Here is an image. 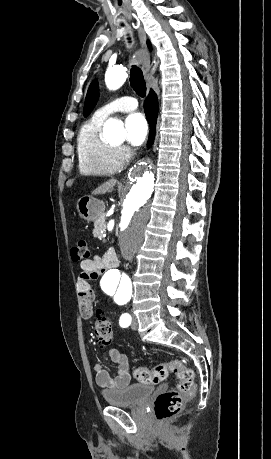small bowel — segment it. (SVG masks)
Masks as SVG:
<instances>
[{
	"label": "small bowel",
	"mask_w": 271,
	"mask_h": 459,
	"mask_svg": "<svg viewBox=\"0 0 271 459\" xmlns=\"http://www.w3.org/2000/svg\"><path fill=\"white\" fill-rule=\"evenodd\" d=\"M108 258L94 256L92 259H85L80 262V273L77 281L79 305L81 315L89 319L92 314V302L95 294L90 285V280L99 278L106 270ZM110 360L117 367L116 376L112 377L109 372L100 364L95 365L96 383L102 388H124L131 380L130 365L125 354L116 349L109 351Z\"/></svg>",
	"instance_id": "obj_1"
}]
</instances>
